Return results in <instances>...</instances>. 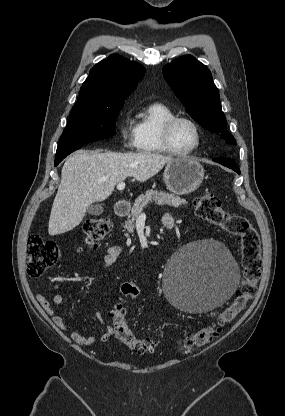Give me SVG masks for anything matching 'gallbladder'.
<instances>
[{
    "mask_svg": "<svg viewBox=\"0 0 285 416\" xmlns=\"http://www.w3.org/2000/svg\"><path fill=\"white\" fill-rule=\"evenodd\" d=\"M103 212L104 208L102 204H92V206H89L88 208V214H91V216H100Z\"/></svg>",
    "mask_w": 285,
    "mask_h": 416,
    "instance_id": "bac80fb5",
    "label": "gallbladder"
}]
</instances>
